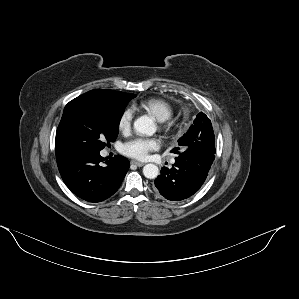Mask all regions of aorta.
I'll use <instances>...</instances> for the list:
<instances>
[{"instance_id": "762f6f07", "label": "aorta", "mask_w": 299, "mask_h": 299, "mask_svg": "<svg viewBox=\"0 0 299 299\" xmlns=\"http://www.w3.org/2000/svg\"><path fill=\"white\" fill-rule=\"evenodd\" d=\"M134 131L139 135L152 136L156 132V126L152 119L141 116L134 122ZM143 174L148 179H154L159 174V168L155 164H146L143 167Z\"/></svg>"}]
</instances>
